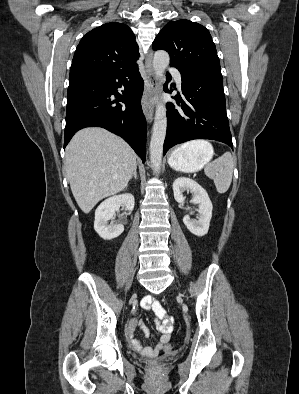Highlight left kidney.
<instances>
[{"label":"left kidney","mask_w":299,"mask_h":394,"mask_svg":"<svg viewBox=\"0 0 299 394\" xmlns=\"http://www.w3.org/2000/svg\"><path fill=\"white\" fill-rule=\"evenodd\" d=\"M190 191L193 193L192 202L198 204V221L190 219L189 215L184 216L183 223L187 229L196 236H204L207 234L209 229L210 220L212 217V203L205 191L196 181L186 178L179 177L173 183L174 198L178 203L183 204L185 197L183 193Z\"/></svg>","instance_id":"1"}]
</instances>
